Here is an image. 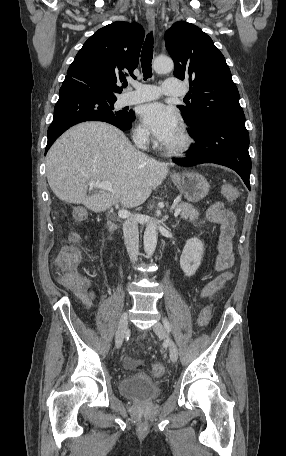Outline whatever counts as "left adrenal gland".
I'll return each instance as SVG.
<instances>
[{"label": "left adrenal gland", "mask_w": 286, "mask_h": 456, "mask_svg": "<svg viewBox=\"0 0 286 456\" xmlns=\"http://www.w3.org/2000/svg\"><path fill=\"white\" fill-rule=\"evenodd\" d=\"M179 224V221H176V224L173 225V227H176Z\"/></svg>", "instance_id": "obj_1"}]
</instances>
